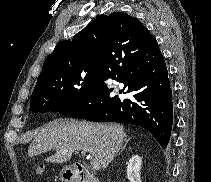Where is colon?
Masks as SVG:
<instances>
[{
  "mask_svg": "<svg viewBox=\"0 0 211 182\" xmlns=\"http://www.w3.org/2000/svg\"><path fill=\"white\" fill-rule=\"evenodd\" d=\"M43 171H44V168H43V165L42 164H37L35 166L34 173L36 175H42L43 174Z\"/></svg>",
  "mask_w": 211,
  "mask_h": 182,
  "instance_id": "1",
  "label": "colon"
}]
</instances>
